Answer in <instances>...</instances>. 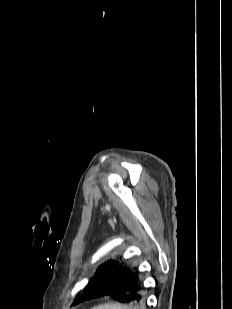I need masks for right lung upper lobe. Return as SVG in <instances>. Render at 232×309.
Here are the masks:
<instances>
[{
    "mask_svg": "<svg viewBox=\"0 0 232 309\" xmlns=\"http://www.w3.org/2000/svg\"><path fill=\"white\" fill-rule=\"evenodd\" d=\"M119 267V263L117 262H112V261H108L107 263L103 264L97 272H101V271H107V270H113V271H117Z\"/></svg>",
    "mask_w": 232,
    "mask_h": 309,
    "instance_id": "1",
    "label": "right lung upper lobe"
}]
</instances>
